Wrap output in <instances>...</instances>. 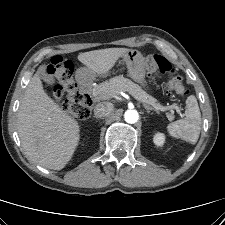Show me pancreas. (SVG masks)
<instances>
[{
	"instance_id": "cf45deb5",
	"label": "pancreas",
	"mask_w": 225,
	"mask_h": 225,
	"mask_svg": "<svg viewBox=\"0 0 225 225\" xmlns=\"http://www.w3.org/2000/svg\"><path fill=\"white\" fill-rule=\"evenodd\" d=\"M121 91H127L136 94L146 101V103L155 104L156 99L149 96L139 85L123 76H116L93 89L94 96L108 97L109 93L119 94ZM168 119L172 120L173 116L168 115Z\"/></svg>"
}]
</instances>
